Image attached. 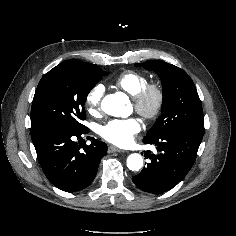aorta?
I'll return each mask as SVG.
<instances>
[{
	"mask_svg": "<svg viewBox=\"0 0 236 236\" xmlns=\"http://www.w3.org/2000/svg\"><path fill=\"white\" fill-rule=\"evenodd\" d=\"M128 97L123 93H115L107 95L102 103V110L111 116L121 117L124 114ZM143 166V158L140 154L133 153L127 158V167L133 171H138Z\"/></svg>",
	"mask_w": 236,
	"mask_h": 236,
	"instance_id": "1",
	"label": "aorta"
}]
</instances>
